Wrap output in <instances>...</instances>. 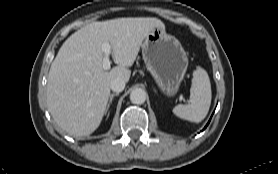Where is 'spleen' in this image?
<instances>
[{
  "mask_svg": "<svg viewBox=\"0 0 278 174\" xmlns=\"http://www.w3.org/2000/svg\"><path fill=\"white\" fill-rule=\"evenodd\" d=\"M211 97L209 76L204 69L198 68L193 73L189 103L175 106L173 113L179 118L199 123L208 114Z\"/></svg>",
  "mask_w": 278,
  "mask_h": 174,
  "instance_id": "3e777b00",
  "label": "spleen"
}]
</instances>
